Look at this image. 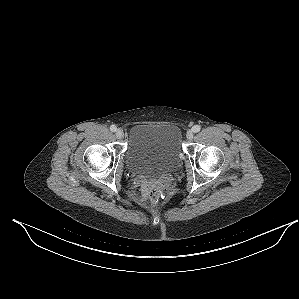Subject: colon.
<instances>
[{
	"label": "colon",
	"mask_w": 299,
	"mask_h": 299,
	"mask_svg": "<svg viewBox=\"0 0 299 299\" xmlns=\"http://www.w3.org/2000/svg\"><path fill=\"white\" fill-rule=\"evenodd\" d=\"M167 184L165 183H151L146 188L149 204L156 205L165 195L167 190Z\"/></svg>",
	"instance_id": "5ec220e1"
}]
</instances>
